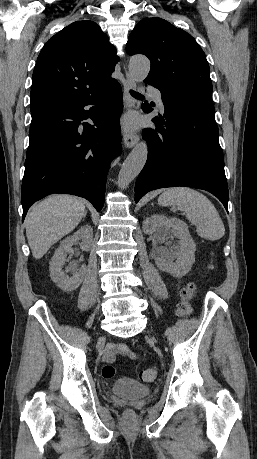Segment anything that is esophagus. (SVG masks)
Here are the masks:
<instances>
[{
    "mask_svg": "<svg viewBox=\"0 0 257 459\" xmlns=\"http://www.w3.org/2000/svg\"><path fill=\"white\" fill-rule=\"evenodd\" d=\"M125 74H126V83L124 87V101H125V106L126 109H130L135 106V101L130 95V90H135L136 89V83L130 76L129 72L125 69ZM139 140V135L138 133H130L126 129H124L123 132V143L126 148H132L137 144Z\"/></svg>",
    "mask_w": 257,
    "mask_h": 459,
    "instance_id": "obj_1",
    "label": "esophagus"
}]
</instances>
